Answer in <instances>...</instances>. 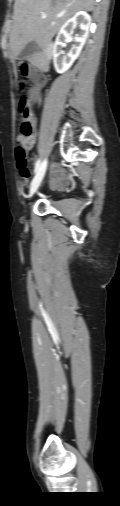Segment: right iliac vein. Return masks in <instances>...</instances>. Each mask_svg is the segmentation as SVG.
Returning a JSON list of instances; mask_svg holds the SVG:
<instances>
[{
  "label": "right iliac vein",
  "mask_w": 120,
  "mask_h": 506,
  "mask_svg": "<svg viewBox=\"0 0 120 506\" xmlns=\"http://www.w3.org/2000/svg\"><path fill=\"white\" fill-rule=\"evenodd\" d=\"M46 161V160H45ZM44 161V162H45ZM43 162V163H44ZM47 162V161H46ZM46 171V169H45ZM45 171H43V168H40V171L39 173H42L43 172V176H39V175H36L31 183V186H30V191H29V198H31L34 193L37 191L38 187L40 186L42 180H43V177L45 175Z\"/></svg>",
  "instance_id": "1"
}]
</instances>
